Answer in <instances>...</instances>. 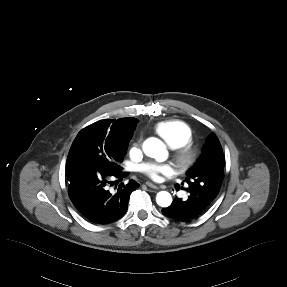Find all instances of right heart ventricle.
<instances>
[{"label":"right heart ventricle","instance_id":"obj_1","mask_svg":"<svg viewBox=\"0 0 287 287\" xmlns=\"http://www.w3.org/2000/svg\"><path fill=\"white\" fill-rule=\"evenodd\" d=\"M154 131L171 149H178L192 141L191 127L182 120L171 119L158 122Z\"/></svg>","mask_w":287,"mask_h":287}]
</instances>
